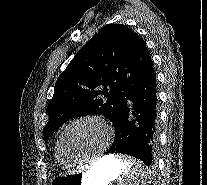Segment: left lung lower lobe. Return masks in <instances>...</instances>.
Listing matches in <instances>:
<instances>
[{"label": "left lung lower lobe", "mask_w": 207, "mask_h": 185, "mask_svg": "<svg viewBox=\"0 0 207 185\" xmlns=\"http://www.w3.org/2000/svg\"><path fill=\"white\" fill-rule=\"evenodd\" d=\"M114 127V143L106 154H127L150 166L158 143L157 86L153 67L131 87Z\"/></svg>", "instance_id": "1"}]
</instances>
